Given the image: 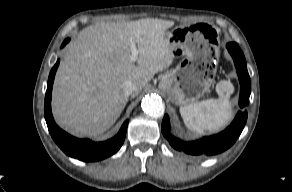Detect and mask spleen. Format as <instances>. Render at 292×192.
Returning <instances> with one entry per match:
<instances>
[{
    "instance_id": "spleen-1",
    "label": "spleen",
    "mask_w": 292,
    "mask_h": 192,
    "mask_svg": "<svg viewBox=\"0 0 292 192\" xmlns=\"http://www.w3.org/2000/svg\"><path fill=\"white\" fill-rule=\"evenodd\" d=\"M216 91L218 99H207L180 107L181 117L189 130L197 134H203L206 130L218 131L231 119L229 98L234 92L233 84L221 80L216 85Z\"/></svg>"
}]
</instances>
